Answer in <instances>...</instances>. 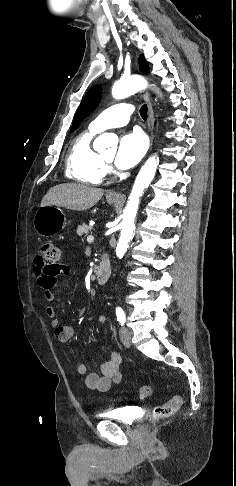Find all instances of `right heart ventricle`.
<instances>
[{
  "mask_svg": "<svg viewBox=\"0 0 236 486\" xmlns=\"http://www.w3.org/2000/svg\"><path fill=\"white\" fill-rule=\"evenodd\" d=\"M96 132L91 129L80 133L72 141L65 161L67 178L86 184L99 185L106 173L101 156L92 148Z\"/></svg>",
  "mask_w": 236,
  "mask_h": 486,
  "instance_id": "e07e8e85",
  "label": "right heart ventricle"
}]
</instances>
